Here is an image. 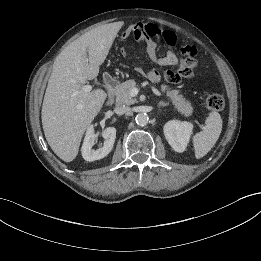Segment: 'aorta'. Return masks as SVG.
Wrapping results in <instances>:
<instances>
[{
    "label": "aorta",
    "mask_w": 261,
    "mask_h": 261,
    "mask_svg": "<svg viewBox=\"0 0 261 261\" xmlns=\"http://www.w3.org/2000/svg\"><path fill=\"white\" fill-rule=\"evenodd\" d=\"M135 121L139 126H146L149 122V117L146 113H139L135 117Z\"/></svg>",
    "instance_id": "762f6f07"
}]
</instances>
